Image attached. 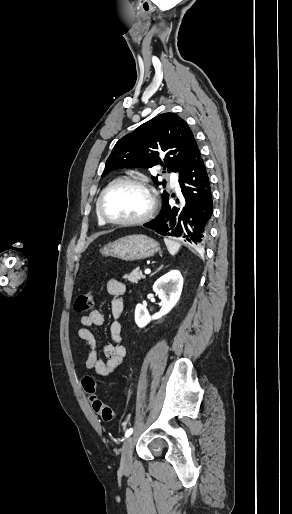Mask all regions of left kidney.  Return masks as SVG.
I'll return each mask as SVG.
<instances>
[{"mask_svg": "<svg viewBox=\"0 0 292 514\" xmlns=\"http://www.w3.org/2000/svg\"><path fill=\"white\" fill-rule=\"evenodd\" d=\"M183 288V278L179 270H171L165 276H161L159 280H156L153 290L160 298L162 302V308L160 312L150 316L146 306L143 304H137L135 308V322L139 328L147 326L151 320H159L165 314H168L175 304H177Z\"/></svg>", "mask_w": 292, "mask_h": 514, "instance_id": "obj_1", "label": "left kidney"}]
</instances>
